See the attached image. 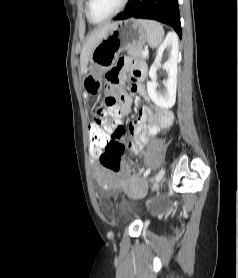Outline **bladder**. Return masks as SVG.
I'll list each match as a JSON object with an SVG mask.
<instances>
[{"label":"bladder","mask_w":238,"mask_h":278,"mask_svg":"<svg viewBox=\"0 0 238 278\" xmlns=\"http://www.w3.org/2000/svg\"><path fill=\"white\" fill-rule=\"evenodd\" d=\"M114 215H115V213L113 210L106 208V216L107 217L112 218Z\"/></svg>","instance_id":"bladder-1"}]
</instances>
